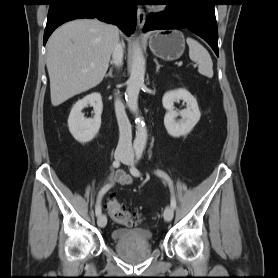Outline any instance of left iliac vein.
Segmentation results:
<instances>
[{"mask_svg": "<svg viewBox=\"0 0 278 278\" xmlns=\"http://www.w3.org/2000/svg\"><path fill=\"white\" fill-rule=\"evenodd\" d=\"M133 162V158L131 155H128L124 160L123 163L126 165H131ZM174 216V211L173 208L171 206H167L165 211H164V219L167 222H170L173 219Z\"/></svg>", "mask_w": 278, "mask_h": 278, "instance_id": "4c4485c4", "label": "left iliac vein"}]
</instances>
